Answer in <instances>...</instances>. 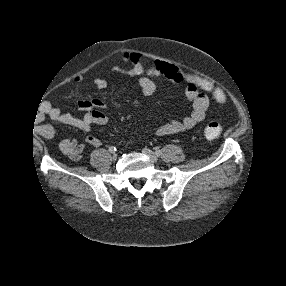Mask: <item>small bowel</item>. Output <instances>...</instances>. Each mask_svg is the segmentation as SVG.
<instances>
[{
  "label": "small bowel",
  "instance_id": "1",
  "mask_svg": "<svg viewBox=\"0 0 286 286\" xmlns=\"http://www.w3.org/2000/svg\"><path fill=\"white\" fill-rule=\"evenodd\" d=\"M163 64L167 67V76L165 78L185 85L186 98L191 104L192 110L190 114L182 120H171L158 127L156 129L158 136L175 134L193 128L204 119L209 107V98L199 91L197 78L195 76L175 65ZM116 70L125 72L131 76H136L140 90L144 95L149 96L155 92L156 83L150 77L140 75L132 70H124L120 67H116ZM94 83L95 86L101 90L107 87V81L102 77H96ZM78 106L85 112L81 118L72 116L69 113H64L57 107H50L48 116L57 123L83 131L90 130L93 125H105L107 123L108 118L103 111L105 104L102 100H80ZM41 131L45 136L51 137L56 130L50 125H44ZM85 143L97 147L101 144V141L94 135H88L85 139ZM59 148L64 155L73 161L80 160L85 152V144L79 143L74 138L63 139L59 143Z\"/></svg>",
  "mask_w": 286,
  "mask_h": 286
}]
</instances>
